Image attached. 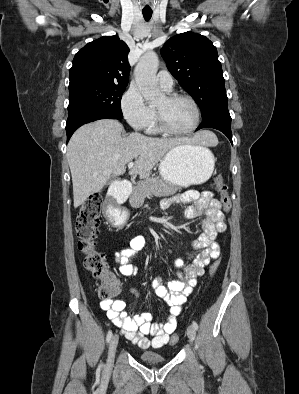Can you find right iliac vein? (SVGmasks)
Masks as SVG:
<instances>
[{
    "instance_id": "obj_1",
    "label": "right iliac vein",
    "mask_w": 299,
    "mask_h": 394,
    "mask_svg": "<svg viewBox=\"0 0 299 394\" xmlns=\"http://www.w3.org/2000/svg\"><path fill=\"white\" fill-rule=\"evenodd\" d=\"M118 340H119V337L117 334H115L110 341L108 359H107V364H106L107 369H110L113 366L114 357H115V353H116V349H117V345H118Z\"/></svg>"
}]
</instances>
